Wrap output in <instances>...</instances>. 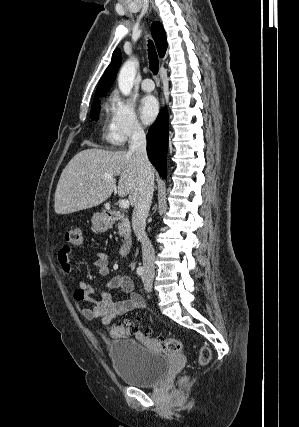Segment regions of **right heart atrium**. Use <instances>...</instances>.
Returning a JSON list of instances; mask_svg holds the SVG:
<instances>
[{"label":"right heart atrium","instance_id":"d8ad5b80","mask_svg":"<svg viewBox=\"0 0 299 427\" xmlns=\"http://www.w3.org/2000/svg\"><path fill=\"white\" fill-rule=\"evenodd\" d=\"M107 110L109 114L106 136L109 142L122 146L130 139L144 134L132 103L121 97L117 92L110 95Z\"/></svg>","mask_w":299,"mask_h":427}]
</instances>
